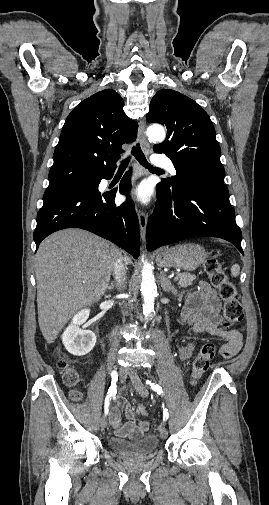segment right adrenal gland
I'll return each mask as SVG.
<instances>
[{
    "instance_id": "1",
    "label": "right adrenal gland",
    "mask_w": 269,
    "mask_h": 505,
    "mask_svg": "<svg viewBox=\"0 0 269 505\" xmlns=\"http://www.w3.org/2000/svg\"><path fill=\"white\" fill-rule=\"evenodd\" d=\"M114 288H116V286H115L113 283H111V285H110V286H108V289H109V290H112V289H114Z\"/></svg>"
}]
</instances>
